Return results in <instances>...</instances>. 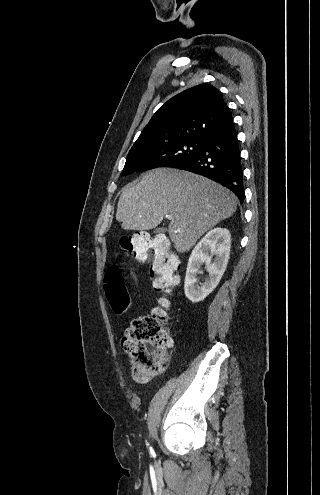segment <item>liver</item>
<instances>
[{"mask_svg": "<svg viewBox=\"0 0 320 495\" xmlns=\"http://www.w3.org/2000/svg\"><path fill=\"white\" fill-rule=\"evenodd\" d=\"M236 208V196L225 187L189 172L159 168L137 184L124 187L116 220L124 230L145 231L172 215L168 227L171 241L178 252H187Z\"/></svg>", "mask_w": 320, "mask_h": 495, "instance_id": "liver-1", "label": "liver"}]
</instances>
